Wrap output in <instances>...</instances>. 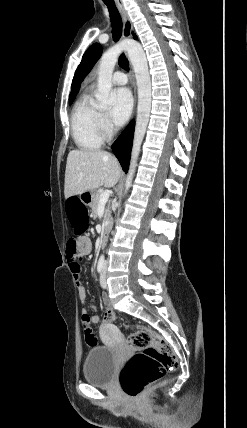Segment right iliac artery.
<instances>
[{
    "instance_id": "right-iliac-artery-1",
    "label": "right iliac artery",
    "mask_w": 247,
    "mask_h": 428,
    "mask_svg": "<svg viewBox=\"0 0 247 428\" xmlns=\"http://www.w3.org/2000/svg\"><path fill=\"white\" fill-rule=\"evenodd\" d=\"M104 265H105L104 257H100V259L98 261V265H97V271H98V273L102 272V270L104 268Z\"/></svg>"
}]
</instances>
